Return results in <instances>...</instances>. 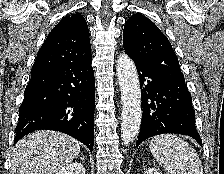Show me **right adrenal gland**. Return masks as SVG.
Instances as JSON below:
<instances>
[{
    "label": "right adrenal gland",
    "mask_w": 224,
    "mask_h": 174,
    "mask_svg": "<svg viewBox=\"0 0 224 174\" xmlns=\"http://www.w3.org/2000/svg\"><path fill=\"white\" fill-rule=\"evenodd\" d=\"M81 160H84V157H80V156H78Z\"/></svg>",
    "instance_id": "2a0ac1e0"
}]
</instances>
